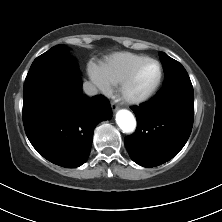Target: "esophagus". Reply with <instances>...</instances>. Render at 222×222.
<instances>
[{
    "mask_svg": "<svg viewBox=\"0 0 222 222\" xmlns=\"http://www.w3.org/2000/svg\"><path fill=\"white\" fill-rule=\"evenodd\" d=\"M111 107L114 112L118 110V106L115 103H111Z\"/></svg>",
    "mask_w": 222,
    "mask_h": 222,
    "instance_id": "obj_1",
    "label": "esophagus"
}]
</instances>
